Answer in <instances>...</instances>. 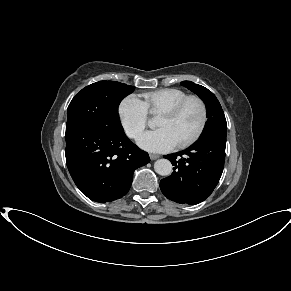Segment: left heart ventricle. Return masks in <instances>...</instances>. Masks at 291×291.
<instances>
[{
  "label": "left heart ventricle",
  "mask_w": 291,
  "mask_h": 291,
  "mask_svg": "<svg viewBox=\"0 0 291 291\" xmlns=\"http://www.w3.org/2000/svg\"><path fill=\"white\" fill-rule=\"evenodd\" d=\"M202 119L200 104L192 100L186 104L183 110L175 118L160 116L156 126L166 129L177 144L184 142L193 136L198 130Z\"/></svg>",
  "instance_id": "1"
}]
</instances>
